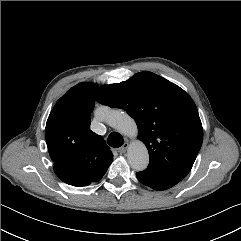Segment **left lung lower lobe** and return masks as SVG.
Returning a JSON list of instances; mask_svg holds the SVG:
<instances>
[{
    "label": "left lung lower lobe",
    "mask_w": 241,
    "mask_h": 241,
    "mask_svg": "<svg viewBox=\"0 0 241 241\" xmlns=\"http://www.w3.org/2000/svg\"><path fill=\"white\" fill-rule=\"evenodd\" d=\"M136 176L142 184L155 190L169 189L181 181V179L151 169L137 172Z\"/></svg>",
    "instance_id": "0a47b994"
}]
</instances>
